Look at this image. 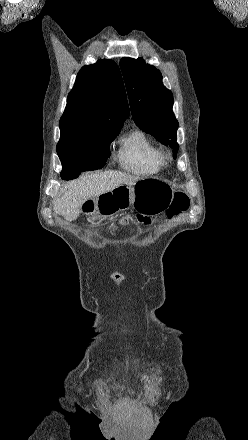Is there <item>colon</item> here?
<instances>
[{
  "label": "colon",
  "mask_w": 248,
  "mask_h": 440,
  "mask_svg": "<svg viewBox=\"0 0 248 440\" xmlns=\"http://www.w3.org/2000/svg\"><path fill=\"white\" fill-rule=\"evenodd\" d=\"M189 206H190V200H189L187 194L184 191L179 190L174 194L171 206L168 209L167 214H168V216H171V217L179 215V214L187 211L189 209ZM138 218H139V220L145 221V222L148 220L147 218H145L141 215H139ZM121 223L122 224L127 223V219H123L121 221Z\"/></svg>",
  "instance_id": "1"
}]
</instances>
